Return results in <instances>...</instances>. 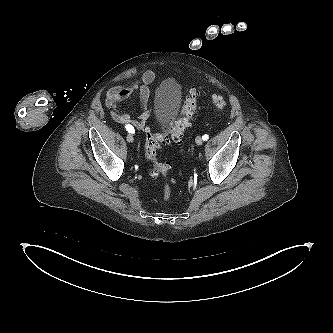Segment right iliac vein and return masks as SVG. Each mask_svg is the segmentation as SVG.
<instances>
[{
  "mask_svg": "<svg viewBox=\"0 0 333 333\" xmlns=\"http://www.w3.org/2000/svg\"><path fill=\"white\" fill-rule=\"evenodd\" d=\"M127 141L129 143H132L134 141V138H133V135L132 134H128L127 137H126Z\"/></svg>",
  "mask_w": 333,
  "mask_h": 333,
  "instance_id": "1",
  "label": "right iliac vein"
}]
</instances>
